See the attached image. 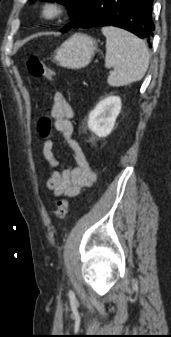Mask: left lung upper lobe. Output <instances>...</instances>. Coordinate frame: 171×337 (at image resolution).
Wrapping results in <instances>:
<instances>
[{"label":"left lung upper lobe","mask_w":171,"mask_h":337,"mask_svg":"<svg viewBox=\"0 0 171 337\" xmlns=\"http://www.w3.org/2000/svg\"><path fill=\"white\" fill-rule=\"evenodd\" d=\"M32 1V0H30ZM43 1H58L60 3H63L64 5L67 6V8L69 9V11L71 12V19L73 20V22L67 24L63 29L62 32H65L67 30H69L70 28H72V26L75 24L77 18L80 16L85 3L87 0H43Z\"/></svg>","instance_id":"obj_1"}]
</instances>
